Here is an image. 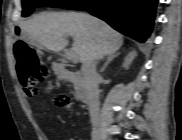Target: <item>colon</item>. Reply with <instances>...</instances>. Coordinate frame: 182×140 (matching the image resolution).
Segmentation results:
<instances>
[{"label": "colon", "mask_w": 182, "mask_h": 140, "mask_svg": "<svg viewBox=\"0 0 182 140\" xmlns=\"http://www.w3.org/2000/svg\"><path fill=\"white\" fill-rule=\"evenodd\" d=\"M13 49L24 91L27 96H33L37 92V84L47 79L48 69L39 53L25 41H16ZM70 101L68 94H60L54 99L57 107H65Z\"/></svg>", "instance_id": "obj_1"}]
</instances>
